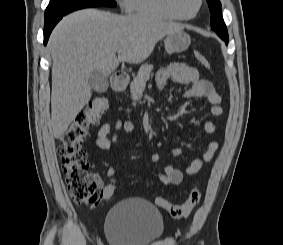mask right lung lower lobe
Masks as SVG:
<instances>
[{"instance_id":"obj_1","label":"right lung lower lobe","mask_w":283,"mask_h":245,"mask_svg":"<svg viewBox=\"0 0 283 245\" xmlns=\"http://www.w3.org/2000/svg\"><path fill=\"white\" fill-rule=\"evenodd\" d=\"M64 16V15H63ZM63 16L55 17L50 20L45 21V26H44V45H46L49 36L51 34V31L55 27V25L62 19Z\"/></svg>"}]
</instances>
